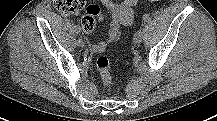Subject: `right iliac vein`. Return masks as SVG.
I'll return each instance as SVG.
<instances>
[{"label":"right iliac vein","mask_w":217,"mask_h":121,"mask_svg":"<svg viewBox=\"0 0 217 121\" xmlns=\"http://www.w3.org/2000/svg\"><path fill=\"white\" fill-rule=\"evenodd\" d=\"M77 45H78L79 47H84V46H85V43H84V41H83L82 39H78V40H77Z\"/></svg>","instance_id":"63e3f726"}]
</instances>
